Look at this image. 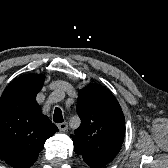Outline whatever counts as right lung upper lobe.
Here are the masks:
<instances>
[{"label": "right lung upper lobe", "mask_w": 168, "mask_h": 168, "mask_svg": "<svg viewBox=\"0 0 168 168\" xmlns=\"http://www.w3.org/2000/svg\"><path fill=\"white\" fill-rule=\"evenodd\" d=\"M44 78L22 75L0 98V158L13 168H30L45 141L58 131L36 102Z\"/></svg>", "instance_id": "obj_1"}]
</instances>
